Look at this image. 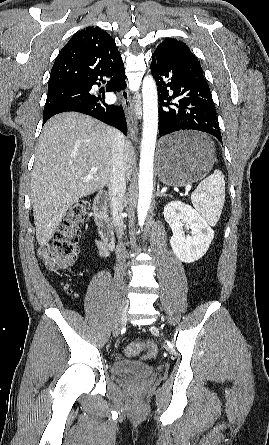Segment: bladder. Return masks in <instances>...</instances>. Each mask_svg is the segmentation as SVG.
<instances>
[{
    "label": "bladder",
    "instance_id": "bladder-1",
    "mask_svg": "<svg viewBox=\"0 0 269 445\" xmlns=\"http://www.w3.org/2000/svg\"><path fill=\"white\" fill-rule=\"evenodd\" d=\"M112 372L117 376L133 374L141 377L151 376L155 369L147 364L133 360H118L112 365Z\"/></svg>",
    "mask_w": 269,
    "mask_h": 445
}]
</instances>
